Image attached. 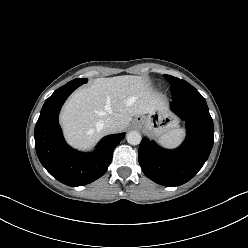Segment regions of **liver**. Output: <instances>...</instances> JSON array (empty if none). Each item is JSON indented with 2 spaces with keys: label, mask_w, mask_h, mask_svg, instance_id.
Segmentation results:
<instances>
[{
  "label": "liver",
  "mask_w": 248,
  "mask_h": 248,
  "mask_svg": "<svg viewBox=\"0 0 248 248\" xmlns=\"http://www.w3.org/2000/svg\"><path fill=\"white\" fill-rule=\"evenodd\" d=\"M165 109L164 99L145 78L123 75L97 78L90 86L75 91L64 105L60 121L68 142L87 150L107 134L97 124L108 117H114L119 122L117 131H123L133 116Z\"/></svg>",
  "instance_id": "obj_1"
}]
</instances>
